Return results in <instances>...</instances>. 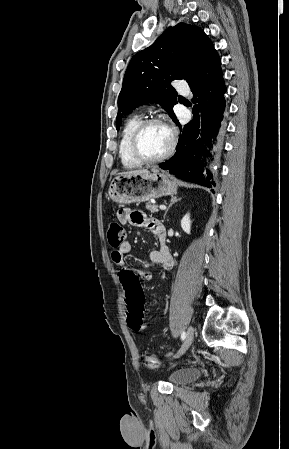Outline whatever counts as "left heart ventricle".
I'll list each match as a JSON object with an SVG mask.
<instances>
[{
	"label": "left heart ventricle",
	"instance_id": "left-heart-ventricle-1",
	"mask_svg": "<svg viewBox=\"0 0 289 449\" xmlns=\"http://www.w3.org/2000/svg\"><path fill=\"white\" fill-rule=\"evenodd\" d=\"M170 144V133L162 124H151L142 132L139 149L143 156L156 158L166 152Z\"/></svg>",
	"mask_w": 289,
	"mask_h": 449
}]
</instances>
